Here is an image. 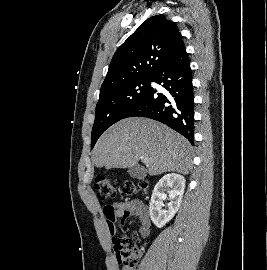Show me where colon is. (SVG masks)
Here are the masks:
<instances>
[{"instance_id": "colon-1", "label": "colon", "mask_w": 267, "mask_h": 270, "mask_svg": "<svg viewBox=\"0 0 267 270\" xmlns=\"http://www.w3.org/2000/svg\"><path fill=\"white\" fill-rule=\"evenodd\" d=\"M93 185L101 201L112 199L119 193V187L105 176L96 177ZM145 186L146 182L139 184L126 182L122 186V191L125 194L132 195ZM113 244L120 270H135L140 256L136 245V238L127 235L114 237Z\"/></svg>"}]
</instances>
